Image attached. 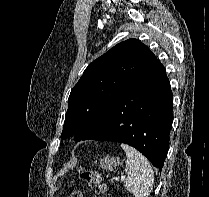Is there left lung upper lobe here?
Listing matches in <instances>:
<instances>
[{"label": "left lung upper lobe", "instance_id": "1", "mask_svg": "<svg viewBox=\"0 0 209 197\" xmlns=\"http://www.w3.org/2000/svg\"><path fill=\"white\" fill-rule=\"evenodd\" d=\"M157 61L137 39L118 43L85 69L71 90L61 138L82 140L111 105L138 83Z\"/></svg>", "mask_w": 209, "mask_h": 197}]
</instances>
